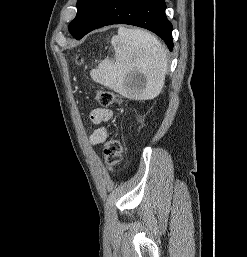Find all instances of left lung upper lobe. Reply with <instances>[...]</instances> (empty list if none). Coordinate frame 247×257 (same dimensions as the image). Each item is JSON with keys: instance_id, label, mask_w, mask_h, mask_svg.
Returning <instances> with one entry per match:
<instances>
[{"instance_id": "5c2ea615", "label": "left lung upper lobe", "mask_w": 247, "mask_h": 257, "mask_svg": "<svg viewBox=\"0 0 247 257\" xmlns=\"http://www.w3.org/2000/svg\"><path fill=\"white\" fill-rule=\"evenodd\" d=\"M97 0H78L77 1V15L69 24V31L71 35H75L80 28L82 27L83 23L87 19L90 11L92 10L94 4Z\"/></svg>"}]
</instances>
